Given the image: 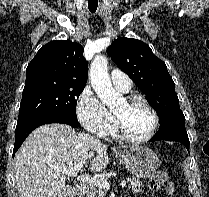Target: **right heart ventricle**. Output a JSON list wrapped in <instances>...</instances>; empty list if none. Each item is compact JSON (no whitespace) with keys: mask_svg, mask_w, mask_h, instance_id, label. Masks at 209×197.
Wrapping results in <instances>:
<instances>
[{"mask_svg":"<svg viewBox=\"0 0 209 197\" xmlns=\"http://www.w3.org/2000/svg\"><path fill=\"white\" fill-rule=\"evenodd\" d=\"M110 134H112L113 136L115 135V130L114 128L111 129V131L109 132Z\"/></svg>","mask_w":209,"mask_h":197,"instance_id":"obj_1","label":"right heart ventricle"}]
</instances>
